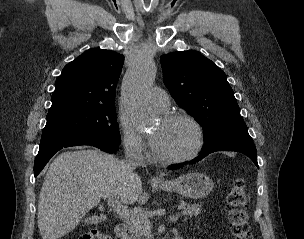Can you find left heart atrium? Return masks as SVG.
<instances>
[{"label": "left heart atrium", "instance_id": "obj_1", "mask_svg": "<svg viewBox=\"0 0 304 239\" xmlns=\"http://www.w3.org/2000/svg\"><path fill=\"white\" fill-rule=\"evenodd\" d=\"M158 144H159V138L157 136H152L151 137V145H152L154 150L157 149Z\"/></svg>", "mask_w": 304, "mask_h": 239}]
</instances>
